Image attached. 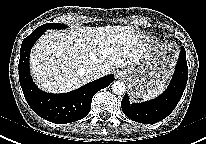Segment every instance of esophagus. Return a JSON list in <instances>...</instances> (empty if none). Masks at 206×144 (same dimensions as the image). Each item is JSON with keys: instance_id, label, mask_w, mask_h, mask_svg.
I'll use <instances>...</instances> for the list:
<instances>
[{"instance_id": "obj_1", "label": "esophagus", "mask_w": 206, "mask_h": 144, "mask_svg": "<svg viewBox=\"0 0 206 144\" xmlns=\"http://www.w3.org/2000/svg\"><path fill=\"white\" fill-rule=\"evenodd\" d=\"M124 76V72L123 71H118L116 74L117 78H122Z\"/></svg>"}]
</instances>
